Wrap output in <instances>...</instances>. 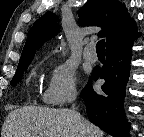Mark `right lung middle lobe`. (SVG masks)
<instances>
[{"mask_svg":"<svg viewBox=\"0 0 144 137\" xmlns=\"http://www.w3.org/2000/svg\"><path fill=\"white\" fill-rule=\"evenodd\" d=\"M29 62H26L24 64H21L17 67V71H16V74L14 75L12 81H11V85H16L17 82L21 79L22 75H23V72L27 69Z\"/></svg>","mask_w":144,"mask_h":137,"instance_id":"right-lung-middle-lobe-1","label":"right lung middle lobe"}]
</instances>
